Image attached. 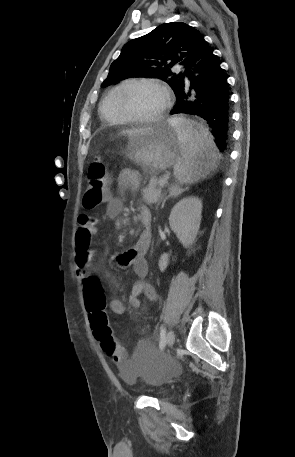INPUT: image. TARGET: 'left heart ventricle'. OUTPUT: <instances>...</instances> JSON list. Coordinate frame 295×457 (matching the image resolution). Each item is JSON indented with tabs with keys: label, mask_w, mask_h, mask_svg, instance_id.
Here are the masks:
<instances>
[{
	"label": "left heart ventricle",
	"mask_w": 295,
	"mask_h": 457,
	"mask_svg": "<svg viewBox=\"0 0 295 457\" xmlns=\"http://www.w3.org/2000/svg\"><path fill=\"white\" fill-rule=\"evenodd\" d=\"M123 102L134 115L151 117L162 110L165 104V95L156 86L142 85L129 90L124 96Z\"/></svg>",
	"instance_id": "obj_1"
}]
</instances>
